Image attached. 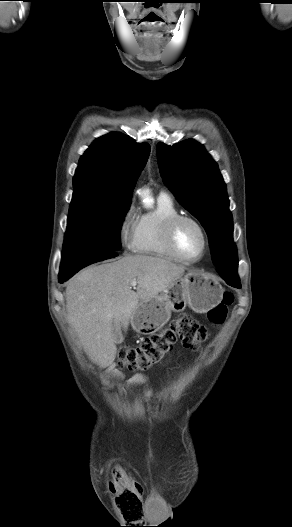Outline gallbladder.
I'll list each match as a JSON object with an SVG mask.
<instances>
[{"label":"gallbladder","instance_id":"bac80fb5","mask_svg":"<svg viewBox=\"0 0 292 527\" xmlns=\"http://www.w3.org/2000/svg\"><path fill=\"white\" fill-rule=\"evenodd\" d=\"M113 335H114V338H115V344H121L123 342L122 333H121L120 329H118L115 325L113 327Z\"/></svg>","mask_w":292,"mask_h":527}]
</instances>
